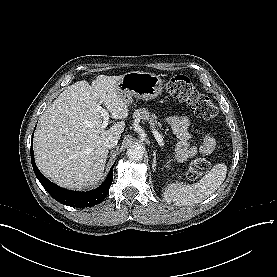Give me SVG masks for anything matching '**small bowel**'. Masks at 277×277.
Instances as JSON below:
<instances>
[{
	"label": "small bowel",
	"instance_id": "small-bowel-1",
	"mask_svg": "<svg viewBox=\"0 0 277 277\" xmlns=\"http://www.w3.org/2000/svg\"><path fill=\"white\" fill-rule=\"evenodd\" d=\"M165 122L172 128L173 133L178 139L177 150L174 156L175 160L192 159L198 154L209 155L216 148V140L213 135L207 134L202 142L198 145L190 144L189 130L190 121L186 117L179 115H169L165 118Z\"/></svg>",
	"mask_w": 277,
	"mask_h": 277
}]
</instances>
